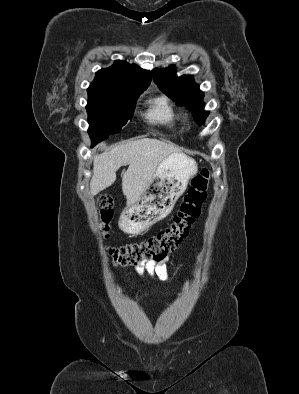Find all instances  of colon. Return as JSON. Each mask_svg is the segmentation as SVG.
Returning <instances> with one entry per match:
<instances>
[{
  "label": "colon",
  "instance_id": "1",
  "mask_svg": "<svg viewBox=\"0 0 299 394\" xmlns=\"http://www.w3.org/2000/svg\"><path fill=\"white\" fill-rule=\"evenodd\" d=\"M209 176V171L202 169L192 178L178 211L164 229L146 239L123 246L105 244L111 262L118 266H128L147 260L159 261L174 250L200 213V207L206 198ZM96 204L99 211V230L105 242L109 237V223L113 216V198L107 194L100 195Z\"/></svg>",
  "mask_w": 299,
  "mask_h": 394
}]
</instances>
